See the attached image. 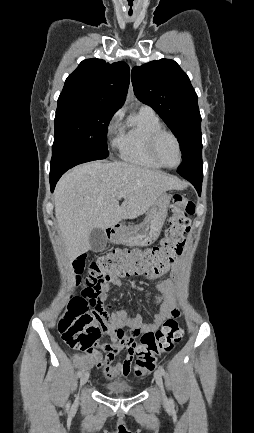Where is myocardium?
Masks as SVG:
<instances>
[{
  "instance_id": "obj_1",
  "label": "myocardium",
  "mask_w": 254,
  "mask_h": 433,
  "mask_svg": "<svg viewBox=\"0 0 254 433\" xmlns=\"http://www.w3.org/2000/svg\"><path fill=\"white\" fill-rule=\"evenodd\" d=\"M169 135L176 143L177 146V150H178V162L174 165V166H167L165 165L158 157L157 155V143L159 138L162 135ZM148 149H149V153L151 155V157L153 158V160L162 168H166V169H175L177 167H179V165L182 162V149H181V145H180V141L178 139V137L170 130L164 129V128H159L155 131L152 132V134L150 135L149 138V142H148Z\"/></svg>"
}]
</instances>
